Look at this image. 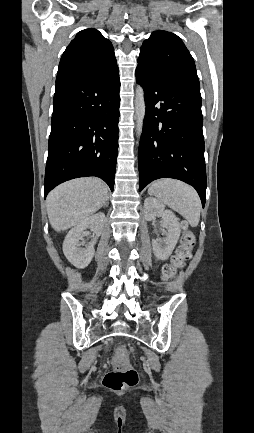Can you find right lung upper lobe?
I'll return each mask as SVG.
<instances>
[{"mask_svg":"<svg viewBox=\"0 0 254 433\" xmlns=\"http://www.w3.org/2000/svg\"><path fill=\"white\" fill-rule=\"evenodd\" d=\"M114 48L96 29H85L66 48L56 83L79 77H94L117 69Z\"/></svg>","mask_w":254,"mask_h":433,"instance_id":"obj_1","label":"right lung upper lobe"}]
</instances>
